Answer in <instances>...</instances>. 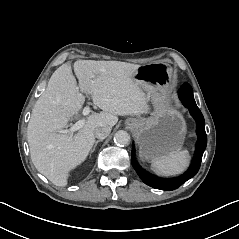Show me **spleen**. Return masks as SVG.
<instances>
[{"instance_id":"obj_1","label":"spleen","mask_w":239,"mask_h":239,"mask_svg":"<svg viewBox=\"0 0 239 239\" xmlns=\"http://www.w3.org/2000/svg\"><path fill=\"white\" fill-rule=\"evenodd\" d=\"M188 163L189 153L182 150L152 162L151 169L159 175H176L185 171Z\"/></svg>"}]
</instances>
